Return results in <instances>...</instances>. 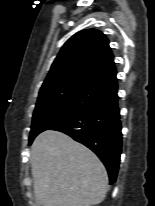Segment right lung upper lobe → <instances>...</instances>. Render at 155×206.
<instances>
[{"mask_svg": "<svg viewBox=\"0 0 155 206\" xmlns=\"http://www.w3.org/2000/svg\"><path fill=\"white\" fill-rule=\"evenodd\" d=\"M71 86L105 94L117 88L113 54L102 32L86 29L73 35L53 62L40 92Z\"/></svg>", "mask_w": 155, "mask_h": 206, "instance_id": "obj_1", "label": "right lung upper lobe"}]
</instances>
